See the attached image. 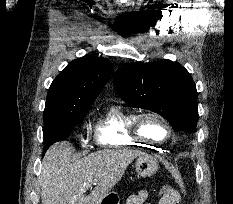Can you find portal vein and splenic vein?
<instances>
[{"label": "portal vein and splenic vein", "mask_w": 233, "mask_h": 204, "mask_svg": "<svg viewBox=\"0 0 233 204\" xmlns=\"http://www.w3.org/2000/svg\"><path fill=\"white\" fill-rule=\"evenodd\" d=\"M95 184L93 183V184H89V187H92V186H94Z\"/></svg>", "instance_id": "18ae733b"}]
</instances>
